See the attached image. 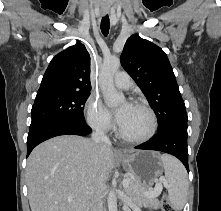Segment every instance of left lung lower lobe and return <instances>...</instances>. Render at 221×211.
<instances>
[{
    "label": "left lung lower lobe",
    "instance_id": "obj_1",
    "mask_svg": "<svg viewBox=\"0 0 221 211\" xmlns=\"http://www.w3.org/2000/svg\"><path fill=\"white\" fill-rule=\"evenodd\" d=\"M143 150L162 151L177 157L186 167H188L187 149V123H176L163 130L148 142L135 147Z\"/></svg>",
    "mask_w": 221,
    "mask_h": 211
}]
</instances>
